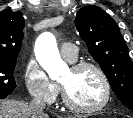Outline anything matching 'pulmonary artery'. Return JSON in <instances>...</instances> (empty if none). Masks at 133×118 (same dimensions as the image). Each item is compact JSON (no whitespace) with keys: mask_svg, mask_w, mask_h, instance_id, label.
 Masks as SVG:
<instances>
[{"mask_svg":"<svg viewBox=\"0 0 133 118\" xmlns=\"http://www.w3.org/2000/svg\"><path fill=\"white\" fill-rule=\"evenodd\" d=\"M77 51V47L71 43H64L60 47V52L62 56L70 62L76 60L78 54Z\"/></svg>","mask_w":133,"mask_h":118,"instance_id":"pulmonary-artery-1","label":"pulmonary artery"}]
</instances>
